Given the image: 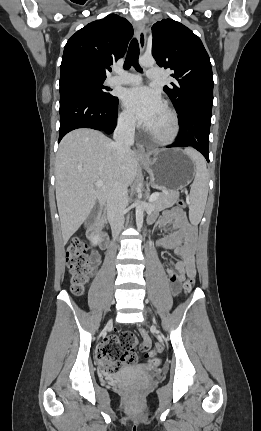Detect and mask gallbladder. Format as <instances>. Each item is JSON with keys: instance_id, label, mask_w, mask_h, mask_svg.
<instances>
[{"instance_id": "gallbladder-1", "label": "gallbladder", "mask_w": 261, "mask_h": 431, "mask_svg": "<svg viewBox=\"0 0 261 431\" xmlns=\"http://www.w3.org/2000/svg\"><path fill=\"white\" fill-rule=\"evenodd\" d=\"M98 210H99V205H95L93 210L91 211L89 217H88V223L89 224L95 220L97 213H98Z\"/></svg>"}]
</instances>
